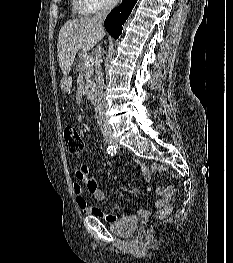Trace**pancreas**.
<instances>
[{
    "mask_svg": "<svg viewBox=\"0 0 233 263\" xmlns=\"http://www.w3.org/2000/svg\"><path fill=\"white\" fill-rule=\"evenodd\" d=\"M82 56V53L78 54L79 59L76 64V68L79 71V73L85 77L87 84L85 86L84 93L86 94V96L90 97L93 89V82L91 81V77L94 73V68L93 66L85 67V59Z\"/></svg>",
    "mask_w": 233,
    "mask_h": 263,
    "instance_id": "obj_1",
    "label": "pancreas"
}]
</instances>
